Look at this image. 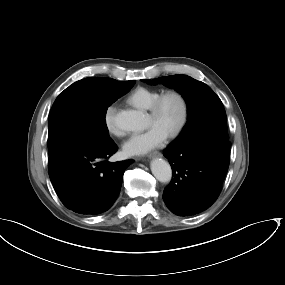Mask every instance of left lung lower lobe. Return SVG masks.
<instances>
[{"label": "left lung lower lobe", "mask_w": 285, "mask_h": 285, "mask_svg": "<svg viewBox=\"0 0 285 285\" xmlns=\"http://www.w3.org/2000/svg\"><path fill=\"white\" fill-rule=\"evenodd\" d=\"M230 146L229 140L205 138L165 149L173 179L164 189L163 200L171 212L195 215L216 201L228 171Z\"/></svg>", "instance_id": "0a47b994"}]
</instances>
